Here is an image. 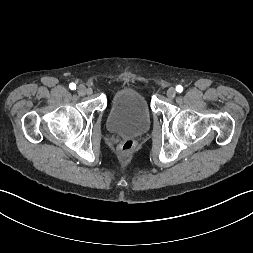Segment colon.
Wrapping results in <instances>:
<instances>
[{
    "instance_id": "1",
    "label": "colon",
    "mask_w": 253,
    "mask_h": 253,
    "mask_svg": "<svg viewBox=\"0 0 253 253\" xmlns=\"http://www.w3.org/2000/svg\"><path fill=\"white\" fill-rule=\"evenodd\" d=\"M135 142L132 139H127L119 145V152L123 157L129 156L135 148Z\"/></svg>"
}]
</instances>
